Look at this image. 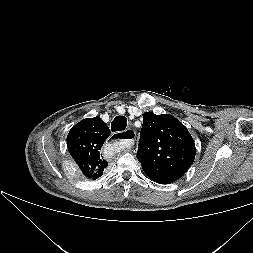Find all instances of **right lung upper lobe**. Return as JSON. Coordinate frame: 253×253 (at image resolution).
<instances>
[{"instance_id": "1", "label": "right lung upper lobe", "mask_w": 253, "mask_h": 253, "mask_svg": "<svg viewBox=\"0 0 253 253\" xmlns=\"http://www.w3.org/2000/svg\"><path fill=\"white\" fill-rule=\"evenodd\" d=\"M109 136L108 126L99 117L80 121L68 133V150L82 173L89 179L95 180L102 176L108 166L100 151Z\"/></svg>"}]
</instances>
